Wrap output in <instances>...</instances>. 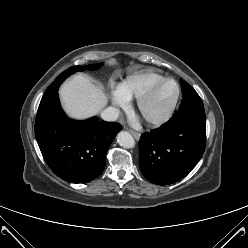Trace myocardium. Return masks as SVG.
Returning a JSON list of instances; mask_svg holds the SVG:
<instances>
[{
	"mask_svg": "<svg viewBox=\"0 0 248 248\" xmlns=\"http://www.w3.org/2000/svg\"><path fill=\"white\" fill-rule=\"evenodd\" d=\"M165 84H173L176 88V95H175V98H174L172 104L170 105V107L167 109V111L165 113H163L162 115H160L159 117H156V118L145 119L148 124L153 125V126L162 125V124L168 122L173 117V115L177 109V106L179 104L180 97H181V89H180L179 84L173 79L164 78L161 81H158L157 83L153 84L142 95H140L137 98V109L141 113L144 110L145 104L150 99V97L155 93V91L159 87H161Z\"/></svg>",
	"mask_w": 248,
	"mask_h": 248,
	"instance_id": "1",
	"label": "myocardium"
}]
</instances>
